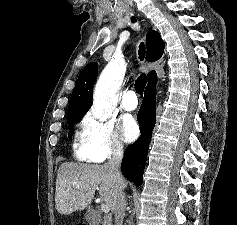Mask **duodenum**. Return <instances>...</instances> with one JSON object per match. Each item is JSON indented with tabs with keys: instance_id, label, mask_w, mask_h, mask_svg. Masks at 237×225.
<instances>
[{
	"instance_id": "duodenum-1",
	"label": "duodenum",
	"mask_w": 237,
	"mask_h": 225,
	"mask_svg": "<svg viewBox=\"0 0 237 225\" xmlns=\"http://www.w3.org/2000/svg\"><path fill=\"white\" fill-rule=\"evenodd\" d=\"M101 225H109L108 223H106V222H102V224Z\"/></svg>"
}]
</instances>
